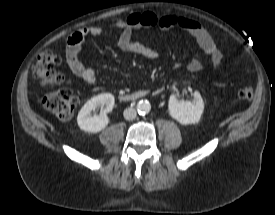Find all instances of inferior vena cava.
Masks as SVG:
<instances>
[{
	"instance_id": "obj_1",
	"label": "inferior vena cava",
	"mask_w": 275,
	"mask_h": 215,
	"mask_svg": "<svg viewBox=\"0 0 275 215\" xmlns=\"http://www.w3.org/2000/svg\"><path fill=\"white\" fill-rule=\"evenodd\" d=\"M123 115L126 120H133L136 118L137 113L134 108H127L124 110Z\"/></svg>"
}]
</instances>
